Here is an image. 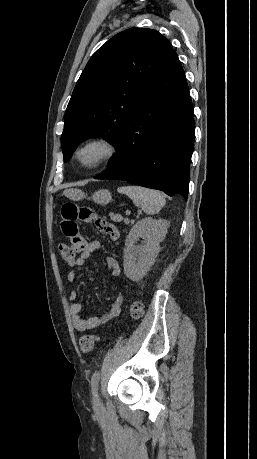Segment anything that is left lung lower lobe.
Instances as JSON below:
<instances>
[{"label": "left lung lower lobe", "mask_w": 257, "mask_h": 459, "mask_svg": "<svg viewBox=\"0 0 257 459\" xmlns=\"http://www.w3.org/2000/svg\"><path fill=\"white\" fill-rule=\"evenodd\" d=\"M193 141V105L172 51L124 122L116 156L95 179L123 180L187 199Z\"/></svg>", "instance_id": "obj_1"}]
</instances>
